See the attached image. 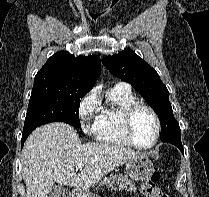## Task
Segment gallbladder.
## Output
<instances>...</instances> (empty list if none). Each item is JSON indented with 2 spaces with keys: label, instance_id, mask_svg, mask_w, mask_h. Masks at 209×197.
I'll use <instances>...</instances> for the list:
<instances>
[{
  "label": "gallbladder",
  "instance_id": "bac80fb5",
  "mask_svg": "<svg viewBox=\"0 0 209 197\" xmlns=\"http://www.w3.org/2000/svg\"><path fill=\"white\" fill-rule=\"evenodd\" d=\"M62 191V187L60 185H55L48 193V197H58Z\"/></svg>",
  "mask_w": 209,
  "mask_h": 197
}]
</instances>
